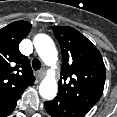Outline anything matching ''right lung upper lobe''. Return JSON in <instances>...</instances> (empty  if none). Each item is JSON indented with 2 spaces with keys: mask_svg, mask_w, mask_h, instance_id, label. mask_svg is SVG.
<instances>
[{
  "mask_svg": "<svg viewBox=\"0 0 117 117\" xmlns=\"http://www.w3.org/2000/svg\"><path fill=\"white\" fill-rule=\"evenodd\" d=\"M31 30L26 21H15L0 29V117L8 116L21 94L34 84V76L19 43Z\"/></svg>",
  "mask_w": 117,
  "mask_h": 117,
  "instance_id": "obj_1",
  "label": "right lung upper lobe"
}]
</instances>
